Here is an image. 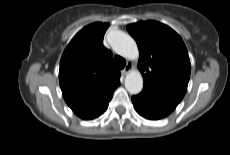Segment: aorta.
Returning a JSON list of instances; mask_svg holds the SVG:
<instances>
[{
    "instance_id": "aorta-1",
    "label": "aorta",
    "mask_w": 230,
    "mask_h": 155,
    "mask_svg": "<svg viewBox=\"0 0 230 155\" xmlns=\"http://www.w3.org/2000/svg\"><path fill=\"white\" fill-rule=\"evenodd\" d=\"M112 49L120 56L127 59H136L139 51L135 40L122 31H116L110 38ZM125 88L130 94L136 95L142 91L143 77L137 70L130 71L125 77Z\"/></svg>"
}]
</instances>
